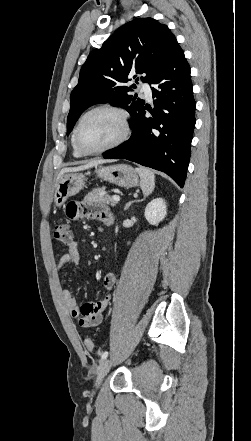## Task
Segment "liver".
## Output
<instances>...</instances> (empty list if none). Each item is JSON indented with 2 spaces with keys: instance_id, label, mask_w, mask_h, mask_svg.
Listing matches in <instances>:
<instances>
[{
  "instance_id": "1",
  "label": "liver",
  "mask_w": 251,
  "mask_h": 441,
  "mask_svg": "<svg viewBox=\"0 0 251 441\" xmlns=\"http://www.w3.org/2000/svg\"><path fill=\"white\" fill-rule=\"evenodd\" d=\"M107 162H110V161H108V160H103V159H94V160H91V161L87 162V163L84 164V165H80V166H77V167L63 168V169L60 171L57 180H59L60 177H61L62 175H64L65 173L82 171V170L89 169V168H92V167H95V166H97V165H100V164H103V163H107Z\"/></svg>"
}]
</instances>
